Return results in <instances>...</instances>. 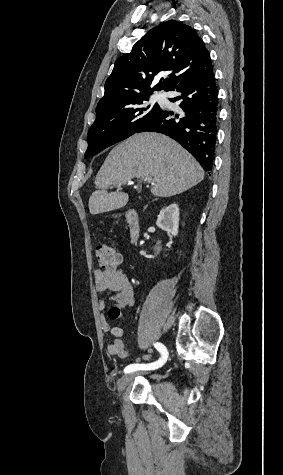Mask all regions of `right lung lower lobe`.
Here are the masks:
<instances>
[{
	"instance_id": "obj_1",
	"label": "right lung lower lobe",
	"mask_w": 283,
	"mask_h": 475,
	"mask_svg": "<svg viewBox=\"0 0 283 475\" xmlns=\"http://www.w3.org/2000/svg\"><path fill=\"white\" fill-rule=\"evenodd\" d=\"M214 71L178 83L170 91L179 95L170 98L180 111L162 108L137 132L163 133L188 150L205 171L212 170L218 121V90Z\"/></svg>"
}]
</instances>
